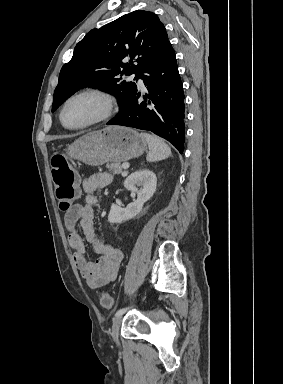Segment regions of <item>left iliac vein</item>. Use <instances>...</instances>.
I'll list each match as a JSON object with an SVG mask.
<instances>
[{"label": "left iliac vein", "mask_w": 283, "mask_h": 384, "mask_svg": "<svg viewBox=\"0 0 283 384\" xmlns=\"http://www.w3.org/2000/svg\"><path fill=\"white\" fill-rule=\"evenodd\" d=\"M121 322H122V315L116 317L113 321V324H112V338L113 340L119 344V331H120V326H121Z\"/></svg>", "instance_id": "4c4485c4"}]
</instances>
